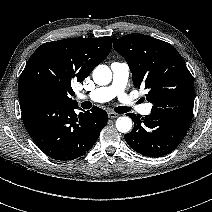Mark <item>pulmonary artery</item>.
<instances>
[{"mask_svg": "<svg viewBox=\"0 0 212 212\" xmlns=\"http://www.w3.org/2000/svg\"><path fill=\"white\" fill-rule=\"evenodd\" d=\"M111 70L113 77L110 85L96 88L88 93H79L77 98L79 100H89L92 102H107L118 97L124 107H128L131 110L135 109L143 115H149L152 109L151 104L139 105L125 93V88L130 76L128 64L124 62H113L111 64Z\"/></svg>", "mask_w": 212, "mask_h": 212, "instance_id": "pulmonary-artery-1", "label": "pulmonary artery"}]
</instances>
